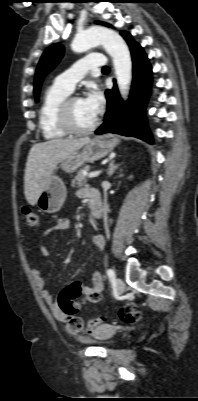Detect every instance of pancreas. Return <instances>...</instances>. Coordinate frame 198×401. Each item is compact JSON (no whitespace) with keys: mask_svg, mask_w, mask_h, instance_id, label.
I'll use <instances>...</instances> for the list:
<instances>
[{"mask_svg":"<svg viewBox=\"0 0 198 401\" xmlns=\"http://www.w3.org/2000/svg\"><path fill=\"white\" fill-rule=\"evenodd\" d=\"M87 167L81 169L78 174L72 179L71 186L74 188H80L81 186L85 185L87 182V175L84 174L85 171H88Z\"/></svg>","mask_w":198,"mask_h":401,"instance_id":"obj_1","label":"pancreas"}]
</instances>
